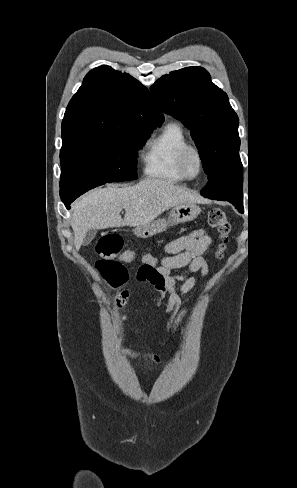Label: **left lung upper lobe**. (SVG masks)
<instances>
[{
	"label": "left lung upper lobe",
	"instance_id": "1",
	"mask_svg": "<svg viewBox=\"0 0 297 488\" xmlns=\"http://www.w3.org/2000/svg\"><path fill=\"white\" fill-rule=\"evenodd\" d=\"M150 90L164 113L191 131L208 182L204 197L243 208V172L239 157V119L228 96L202 67L163 75Z\"/></svg>",
	"mask_w": 297,
	"mask_h": 488
}]
</instances>
